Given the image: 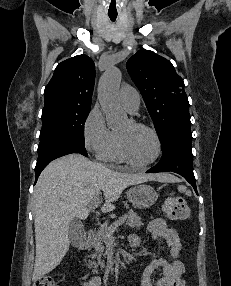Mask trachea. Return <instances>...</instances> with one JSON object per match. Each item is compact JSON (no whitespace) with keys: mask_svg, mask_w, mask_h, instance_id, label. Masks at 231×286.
Wrapping results in <instances>:
<instances>
[{"mask_svg":"<svg viewBox=\"0 0 231 286\" xmlns=\"http://www.w3.org/2000/svg\"><path fill=\"white\" fill-rule=\"evenodd\" d=\"M109 18L111 19V21H115L117 18V14H108Z\"/></svg>","mask_w":231,"mask_h":286,"instance_id":"3493384b","label":"trachea"}]
</instances>
